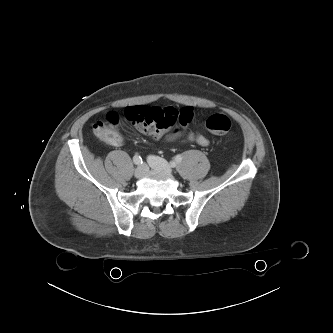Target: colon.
I'll list each match as a JSON object with an SVG mask.
<instances>
[{
  "mask_svg": "<svg viewBox=\"0 0 333 333\" xmlns=\"http://www.w3.org/2000/svg\"><path fill=\"white\" fill-rule=\"evenodd\" d=\"M120 117L115 112H110L106 116L105 121H97L93 125L94 134L107 144L114 138L115 129L119 125ZM206 128L215 135H224L231 128V120L223 114H213L206 120Z\"/></svg>",
  "mask_w": 333,
  "mask_h": 333,
  "instance_id": "obj_1",
  "label": "colon"
}]
</instances>
